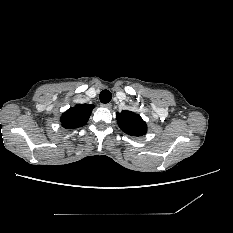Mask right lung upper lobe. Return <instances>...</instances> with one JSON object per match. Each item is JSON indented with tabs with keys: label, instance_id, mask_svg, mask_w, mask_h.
Returning <instances> with one entry per match:
<instances>
[{
	"label": "right lung upper lobe",
	"instance_id": "cb5924a9",
	"mask_svg": "<svg viewBox=\"0 0 233 233\" xmlns=\"http://www.w3.org/2000/svg\"><path fill=\"white\" fill-rule=\"evenodd\" d=\"M94 108L93 104H77L62 114L60 122L65 129H75L84 126Z\"/></svg>",
	"mask_w": 233,
	"mask_h": 233
}]
</instances>
